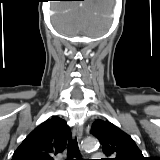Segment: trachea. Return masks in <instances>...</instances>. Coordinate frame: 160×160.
I'll list each match as a JSON object with an SVG mask.
<instances>
[{
    "mask_svg": "<svg viewBox=\"0 0 160 160\" xmlns=\"http://www.w3.org/2000/svg\"><path fill=\"white\" fill-rule=\"evenodd\" d=\"M67 155H68V159H65V160H79V159H73V157L80 156V151H79L78 143L76 139L68 142Z\"/></svg>",
    "mask_w": 160,
    "mask_h": 160,
    "instance_id": "obj_1",
    "label": "trachea"
}]
</instances>
